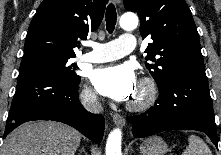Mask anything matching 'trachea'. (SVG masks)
<instances>
[{
	"instance_id": "1",
	"label": "trachea",
	"mask_w": 221,
	"mask_h": 155,
	"mask_svg": "<svg viewBox=\"0 0 221 155\" xmlns=\"http://www.w3.org/2000/svg\"><path fill=\"white\" fill-rule=\"evenodd\" d=\"M116 21V8L112 3H110L106 9V28L109 33H112L114 31Z\"/></svg>"
}]
</instances>
